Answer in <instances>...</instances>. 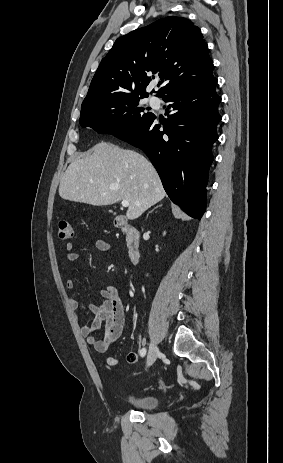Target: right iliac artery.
Here are the masks:
<instances>
[{
    "label": "right iliac artery",
    "instance_id": "82829eb1",
    "mask_svg": "<svg viewBox=\"0 0 283 463\" xmlns=\"http://www.w3.org/2000/svg\"><path fill=\"white\" fill-rule=\"evenodd\" d=\"M145 354H146V349H145V348L141 349V350H140V355H141L142 357H144Z\"/></svg>",
    "mask_w": 283,
    "mask_h": 463
}]
</instances>
